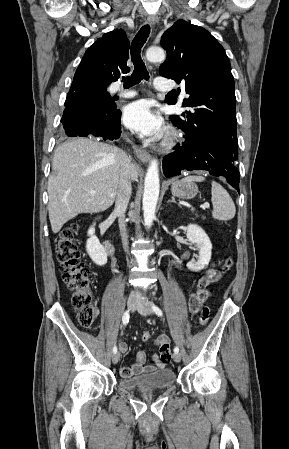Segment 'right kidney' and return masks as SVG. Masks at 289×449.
<instances>
[{"instance_id":"1","label":"right kidney","mask_w":289,"mask_h":449,"mask_svg":"<svg viewBox=\"0 0 289 449\" xmlns=\"http://www.w3.org/2000/svg\"><path fill=\"white\" fill-rule=\"evenodd\" d=\"M88 240L86 242V250L92 261L98 266H103L107 263V253L103 245L100 244L99 239L95 236V228L92 226L88 230Z\"/></svg>"}]
</instances>
